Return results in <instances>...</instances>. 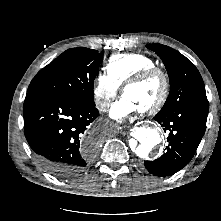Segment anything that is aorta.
<instances>
[{
    "label": "aorta",
    "mask_w": 221,
    "mask_h": 221,
    "mask_svg": "<svg viewBox=\"0 0 221 221\" xmlns=\"http://www.w3.org/2000/svg\"><path fill=\"white\" fill-rule=\"evenodd\" d=\"M134 137L139 145L133 146V149L140 158H145L150 150L161 142L159 131L150 127L137 128Z\"/></svg>",
    "instance_id": "762f6f07"
}]
</instances>
